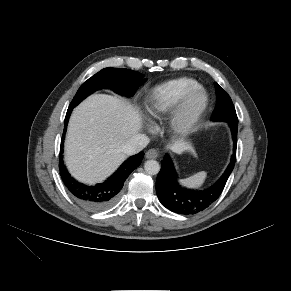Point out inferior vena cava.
<instances>
[{
	"mask_svg": "<svg viewBox=\"0 0 291 291\" xmlns=\"http://www.w3.org/2000/svg\"><path fill=\"white\" fill-rule=\"evenodd\" d=\"M149 138L144 134H136L131 137L123 146L122 151L127 155H134L145 148L149 143Z\"/></svg>",
	"mask_w": 291,
	"mask_h": 291,
	"instance_id": "obj_1",
	"label": "inferior vena cava"
}]
</instances>
